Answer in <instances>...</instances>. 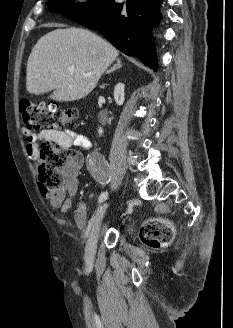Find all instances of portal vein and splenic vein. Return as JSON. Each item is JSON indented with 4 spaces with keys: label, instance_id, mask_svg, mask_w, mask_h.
<instances>
[{
    "label": "portal vein and splenic vein",
    "instance_id": "obj_1",
    "mask_svg": "<svg viewBox=\"0 0 233 328\" xmlns=\"http://www.w3.org/2000/svg\"><path fill=\"white\" fill-rule=\"evenodd\" d=\"M70 71L75 72V67H71Z\"/></svg>",
    "mask_w": 233,
    "mask_h": 328
}]
</instances>
